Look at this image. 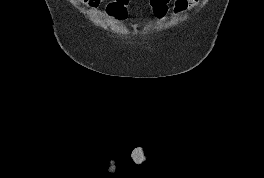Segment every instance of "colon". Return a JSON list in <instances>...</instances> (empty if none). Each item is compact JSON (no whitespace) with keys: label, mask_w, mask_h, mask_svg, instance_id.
Listing matches in <instances>:
<instances>
[{"label":"colon","mask_w":264,"mask_h":178,"mask_svg":"<svg viewBox=\"0 0 264 178\" xmlns=\"http://www.w3.org/2000/svg\"><path fill=\"white\" fill-rule=\"evenodd\" d=\"M171 0H149L152 15L156 19H163L170 8ZM130 0H111L107 3V15L117 22L127 19Z\"/></svg>","instance_id":"colon-1"}]
</instances>
